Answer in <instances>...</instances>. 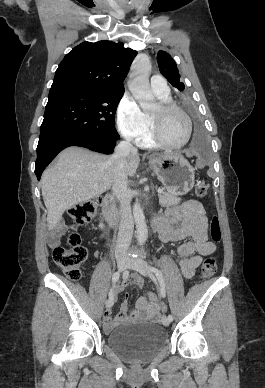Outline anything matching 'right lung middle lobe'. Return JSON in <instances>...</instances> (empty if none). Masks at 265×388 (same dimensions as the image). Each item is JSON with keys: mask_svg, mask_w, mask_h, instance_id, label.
I'll return each mask as SVG.
<instances>
[{"mask_svg": "<svg viewBox=\"0 0 265 388\" xmlns=\"http://www.w3.org/2000/svg\"><path fill=\"white\" fill-rule=\"evenodd\" d=\"M124 90L63 91L49 94L40 137L77 130L100 139H120L114 117Z\"/></svg>", "mask_w": 265, "mask_h": 388, "instance_id": "1", "label": "right lung middle lobe"}]
</instances>
